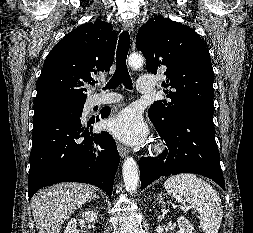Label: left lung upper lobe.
Segmentation results:
<instances>
[{
    "mask_svg": "<svg viewBox=\"0 0 253 233\" xmlns=\"http://www.w3.org/2000/svg\"><path fill=\"white\" fill-rule=\"evenodd\" d=\"M136 48L146 58L148 72H164L168 100L154 102L149 118L162 131H170L178 116L194 111L214 113V72L209 50L190 27L162 16L142 25Z\"/></svg>",
    "mask_w": 253,
    "mask_h": 233,
    "instance_id": "obj_1",
    "label": "left lung upper lobe"
}]
</instances>
